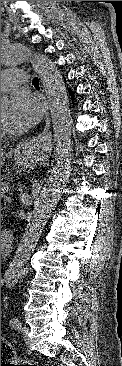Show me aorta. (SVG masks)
<instances>
[{
	"mask_svg": "<svg viewBox=\"0 0 122 366\" xmlns=\"http://www.w3.org/2000/svg\"><path fill=\"white\" fill-rule=\"evenodd\" d=\"M32 62L41 76L42 84L50 104L52 127L57 141L55 163L34 203L25 232L13 259L14 276L22 273V268L30 252L35 248L54 207L60 200L66 183L71 176L72 117L65 83L59 70L45 54L26 43L1 45V66L14 67ZM5 100L1 98V106Z\"/></svg>",
	"mask_w": 122,
	"mask_h": 366,
	"instance_id": "obj_1",
	"label": "aorta"
}]
</instances>
